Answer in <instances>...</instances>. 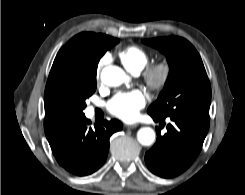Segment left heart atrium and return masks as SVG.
Listing matches in <instances>:
<instances>
[{"label":"left heart atrium","instance_id":"1","mask_svg":"<svg viewBox=\"0 0 245 195\" xmlns=\"http://www.w3.org/2000/svg\"><path fill=\"white\" fill-rule=\"evenodd\" d=\"M146 98L140 90L117 93L108 103V111L124 121H133L145 106Z\"/></svg>","mask_w":245,"mask_h":195}]
</instances>
